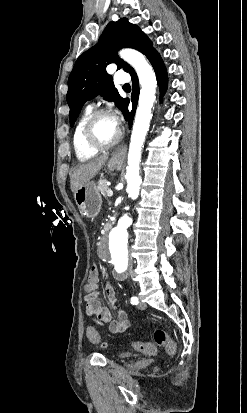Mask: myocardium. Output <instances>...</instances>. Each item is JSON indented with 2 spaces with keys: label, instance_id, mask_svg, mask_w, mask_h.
<instances>
[{
  "label": "myocardium",
  "instance_id": "f54148a6",
  "mask_svg": "<svg viewBox=\"0 0 247 413\" xmlns=\"http://www.w3.org/2000/svg\"><path fill=\"white\" fill-rule=\"evenodd\" d=\"M105 115V112L103 110H98L92 113L88 120L87 123L83 129L82 133V138L83 142L86 145V147L93 149V150H98V151H107L114 146H116L120 139H121V133H118V135L109 142H101L97 138H95L93 134V129L96 124V122L102 118Z\"/></svg>",
  "mask_w": 247,
  "mask_h": 413
}]
</instances>
